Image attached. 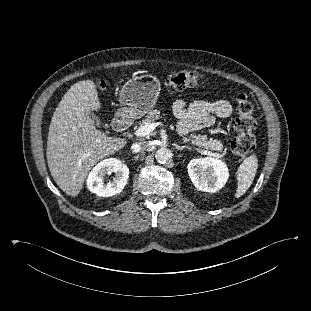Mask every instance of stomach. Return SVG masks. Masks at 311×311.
Masks as SVG:
<instances>
[{
  "instance_id": "0dacf381",
  "label": "stomach",
  "mask_w": 311,
  "mask_h": 311,
  "mask_svg": "<svg viewBox=\"0 0 311 311\" xmlns=\"http://www.w3.org/2000/svg\"><path fill=\"white\" fill-rule=\"evenodd\" d=\"M160 93L159 80L143 75L127 81L122 87L119 102L123 106L117 111L121 117L138 118L148 113L156 104Z\"/></svg>"
}]
</instances>
